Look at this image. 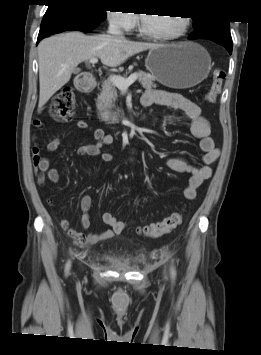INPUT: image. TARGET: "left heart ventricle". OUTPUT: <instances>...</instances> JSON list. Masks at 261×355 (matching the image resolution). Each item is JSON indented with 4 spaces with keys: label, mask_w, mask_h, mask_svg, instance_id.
<instances>
[{
    "label": "left heart ventricle",
    "mask_w": 261,
    "mask_h": 355,
    "mask_svg": "<svg viewBox=\"0 0 261 355\" xmlns=\"http://www.w3.org/2000/svg\"><path fill=\"white\" fill-rule=\"evenodd\" d=\"M143 19L145 27L158 34H174L182 27V20L179 16H163L148 13L143 15Z\"/></svg>",
    "instance_id": "b2bd125f"
}]
</instances>
